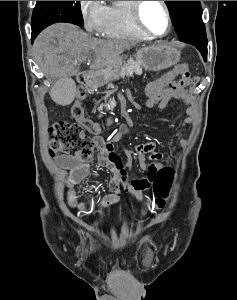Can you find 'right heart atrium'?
Returning <instances> with one entry per match:
<instances>
[{
    "label": "right heart atrium",
    "instance_id": "d8ad5b80",
    "mask_svg": "<svg viewBox=\"0 0 237 300\" xmlns=\"http://www.w3.org/2000/svg\"><path fill=\"white\" fill-rule=\"evenodd\" d=\"M85 28L92 33H102L106 26L107 6L102 1H79Z\"/></svg>",
    "mask_w": 237,
    "mask_h": 300
}]
</instances>
